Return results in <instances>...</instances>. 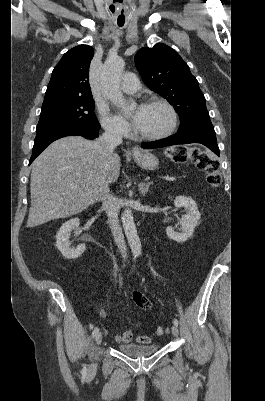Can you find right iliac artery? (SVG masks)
Wrapping results in <instances>:
<instances>
[{
	"instance_id": "1",
	"label": "right iliac artery",
	"mask_w": 265,
	"mask_h": 401,
	"mask_svg": "<svg viewBox=\"0 0 265 401\" xmlns=\"http://www.w3.org/2000/svg\"><path fill=\"white\" fill-rule=\"evenodd\" d=\"M98 332H99V328H98V327L94 328V330H93V332H92V337L94 338ZM82 374H83V375H86V374H87V367H86V364L83 365Z\"/></svg>"
}]
</instances>
